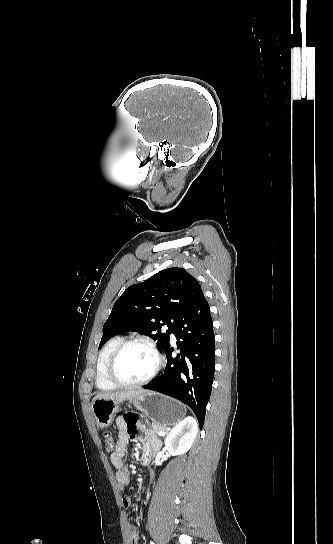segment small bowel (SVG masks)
Returning a JSON list of instances; mask_svg holds the SVG:
<instances>
[{
	"label": "small bowel",
	"instance_id": "small-bowel-1",
	"mask_svg": "<svg viewBox=\"0 0 333 544\" xmlns=\"http://www.w3.org/2000/svg\"><path fill=\"white\" fill-rule=\"evenodd\" d=\"M117 426L119 429L118 439L115 450L110 454L109 459L115 470L118 486L123 489L128 487L130 483L129 471L124 464V456L129 440H136L143 445V454L147 456L148 461L150 460L153 451L156 449L157 443L150 436H146L144 439L140 437L139 430L141 426L136 417H119L117 419ZM122 503L125 508H129L132 504L128 497H124ZM127 530L131 544H137L139 538L137 528L133 525H128Z\"/></svg>",
	"mask_w": 333,
	"mask_h": 544
}]
</instances>
